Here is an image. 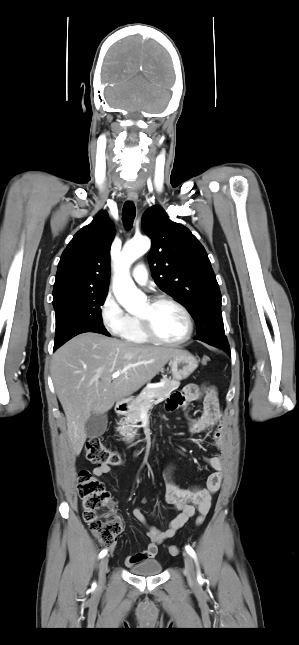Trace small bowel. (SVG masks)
Masks as SVG:
<instances>
[{
    "instance_id": "1",
    "label": "small bowel",
    "mask_w": 299,
    "mask_h": 645,
    "mask_svg": "<svg viewBox=\"0 0 299 645\" xmlns=\"http://www.w3.org/2000/svg\"><path fill=\"white\" fill-rule=\"evenodd\" d=\"M200 399H202L203 412L198 418H188L189 432L191 434H197L216 427L213 440L216 447L223 451L225 449V438L221 426V410L215 388H211L202 398L198 385L189 384L180 392L172 395L167 402L166 408L169 411L181 409L184 412H188L190 404ZM135 455L138 456L139 453ZM205 462L212 472L208 475L203 487L181 488L175 482L174 467L172 465L167 467L165 472V500L175 510L179 511V513L170 521L166 529L161 530L149 525L140 508L133 510L134 518L148 528L147 536L149 538V544L144 551L126 557L125 565L127 567H132L143 561L153 559L158 553L159 546L163 542L171 539L190 518L197 513L204 515L208 513L213 496L221 485L223 468L222 455L206 457ZM110 471L111 466L98 465L93 469V474L96 477H100ZM146 502V498L141 499L142 504ZM110 549L113 550V547Z\"/></svg>"
}]
</instances>
